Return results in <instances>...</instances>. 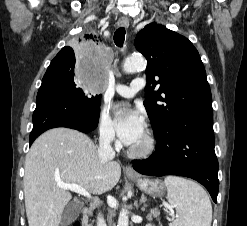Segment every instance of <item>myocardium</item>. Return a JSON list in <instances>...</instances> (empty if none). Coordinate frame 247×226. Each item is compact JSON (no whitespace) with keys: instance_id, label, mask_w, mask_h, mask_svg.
<instances>
[{"instance_id":"myocardium-1","label":"myocardium","mask_w":247,"mask_h":226,"mask_svg":"<svg viewBox=\"0 0 247 226\" xmlns=\"http://www.w3.org/2000/svg\"><path fill=\"white\" fill-rule=\"evenodd\" d=\"M145 143L141 148L135 149L132 147L128 148V154L137 159H145L150 157L156 150L157 140L152 131L147 130L145 133Z\"/></svg>"}]
</instances>
